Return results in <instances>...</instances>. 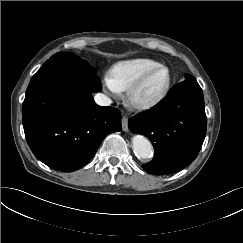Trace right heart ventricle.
I'll return each instance as SVG.
<instances>
[{"mask_svg": "<svg viewBox=\"0 0 243 243\" xmlns=\"http://www.w3.org/2000/svg\"><path fill=\"white\" fill-rule=\"evenodd\" d=\"M159 65V62L149 58L120 61L112 67L108 79L118 92L126 91L142 74Z\"/></svg>", "mask_w": 243, "mask_h": 243, "instance_id": "1", "label": "right heart ventricle"}]
</instances>
